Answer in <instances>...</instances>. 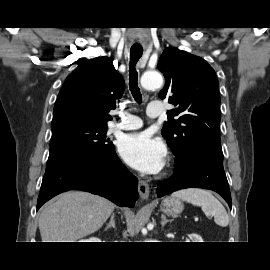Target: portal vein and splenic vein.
Instances as JSON below:
<instances>
[{
    "label": "portal vein and splenic vein",
    "mask_w": 270,
    "mask_h": 270,
    "mask_svg": "<svg viewBox=\"0 0 270 270\" xmlns=\"http://www.w3.org/2000/svg\"><path fill=\"white\" fill-rule=\"evenodd\" d=\"M195 221H198V218L197 217L195 218Z\"/></svg>",
    "instance_id": "1"
}]
</instances>
